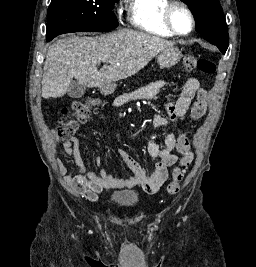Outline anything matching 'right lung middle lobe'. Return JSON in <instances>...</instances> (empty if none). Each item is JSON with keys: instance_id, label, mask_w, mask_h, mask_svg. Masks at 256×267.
Returning a JSON list of instances; mask_svg holds the SVG:
<instances>
[{"instance_id": "obj_1", "label": "right lung middle lobe", "mask_w": 256, "mask_h": 267, "mask_svg": "<svg viewBox=\"0 0 256 267\" xmlns=\"http://www.w3.org/2000/svg\"><path fill=\"white\" fill-rule=\"evenodd\" d=\"M118 0H52L48 8L47 41L70 32H102L117 27L112 12Z\"/></svg>"}]
</instances>
